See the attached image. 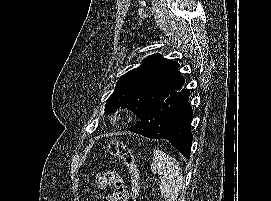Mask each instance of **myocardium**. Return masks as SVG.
<instances>
[{"label":"myocardium","mask_w":271,"mask_h":201,"mask_svg":"<svg viewBox=\"0 0 271 201\" xmlns=\"http://www.w3.org/2000/svg\"><path fill=\"white\" fill-rule=\"evenodd\" d=\"M111 121H112L113 123H119V122L121 121L120 115H118V114L112 115V116H111Z\"/></svg>","instance_id":"f54148a6"}]
</instances>
